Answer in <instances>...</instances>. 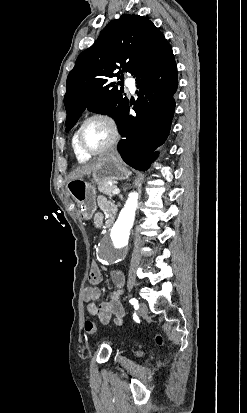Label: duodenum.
I'll use <instances>...</instances> for the list:
<instances>
[{
  "mask_svg": "<svg viewBox=\"0 0 247 413\" xmlns=\"http://www.w3.org/2000/svg\"><path fill=\"white\" fill-rule=\"evenodd\" d=\"M106 226H107V227H110V226H111V222L108 221V222L106 223Z\"/></svg>",
  "mask_w": 247,
  "mask_h": 413,
  "instance_id": "1",
  "label": "duodenum"
}]
</instances>
